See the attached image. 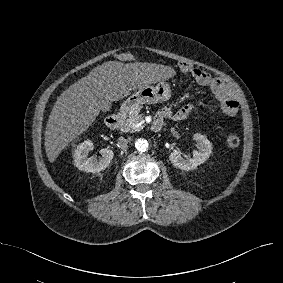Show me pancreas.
Listing matches in <instances>:
<instances>
[{"mask_svg": "<svg viewBox=\"0 0 283 283\" xmlns=\"http://www.w3.org/2000/svg\"><path fill=\"white\" fill-rule=\"evenodd\" d=\"M143 120V115L140 114V107L135 108L128 115V118L124 121L121 131L122 132H136L141 130L139 123Z\"/></svg>", "mask_w": 283, "mask_h": 283, "instance_id": "obj_1", "label": "pancreas"}]
</instances>
